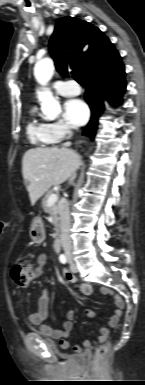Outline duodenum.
<instances>
[{
    "mask_svg": "<svg viewBox=\"0 0 145 385\" xmlns=\"http://www.w3.org/2000/svg\"><path fill=\"white\" fill-rule=\"evenodd\" d=\"M61 239L59 236L56 237L55 241H54V251L56 253L60 252L61 251Z\"/></svg>",
    "mask_w": 145,
    "mask_h": 385,
    "instance_id": "duodenum-1",
    "label": "duodenum"
}]
</instances>
